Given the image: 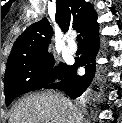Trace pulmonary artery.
Returning a JSON list of instances; mask_svg holds the SVG:
<instances>
[{"label": "pulmonary artery", "mask_w": 122, "mask_h": 123, "mask_svg": "<svg viewBox=\"0 0 122 123\" xmlns=\"http://www.w3.org/2000/svg\"><path fill=\"white\" fill-rule=\"evenodd\" d=\"M67 51L70 54H75L77 52V45L75 44L73 38L70 39L67 45Z\"/></svg>", "instance_id": "e3ab8cb5"}]
</instances>
